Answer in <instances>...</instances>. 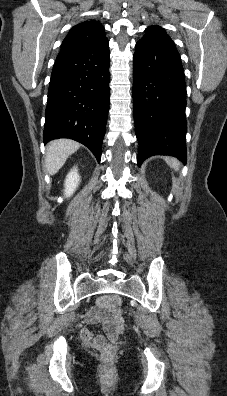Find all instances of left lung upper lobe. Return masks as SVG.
I'll return each instance as SVG.
<instances>
[{"mask_svg":"<svg viewBox=\"0 0 227 396\" xmlns=\"http://www.w3.org/2000/svg\"><path fill=\"white\" fill-rule=\"evenodd\" d=\"M145 31L146 34L143 36V38H157V39L172 41L171 38L165 32V30L159 26L156 25L150 26Z\"/></svg>","mask_w":227,"mask_h":396,"instance_id":"1","label":"left lung upper lobe"}]
</instances>
